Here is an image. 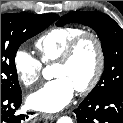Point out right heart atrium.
Returning a JSON list of instances; mask_svg holds the SVG:
<instances>
[{
	"mask_svg": "<svg viewBox=\"0 0 123 123\" xmlns=\"http://www.w3.org/2000/svg\"><path fill=\"white\" fill-rule=\"evenodd\" d=\"M13 65L19 81L26 87H32L40 78L42 63L28 50L19 48L13 56Z\"/></svg>",
	"mask_w": 123,
	"mask_h": 123,
	"instance_id": "right-heart-atrium-1",
	"label": "right heart atrium"
}]
</instances>
